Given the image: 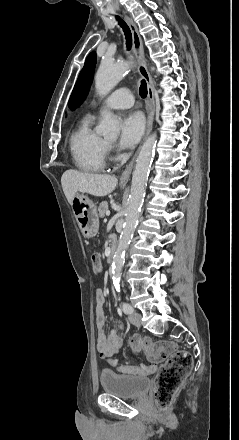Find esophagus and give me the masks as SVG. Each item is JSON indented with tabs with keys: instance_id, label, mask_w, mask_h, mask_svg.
Instances as JSON below:
<instances>
[{
	"instance_id": "esophagus-1",
	"label": "esophagus",
	"mask_w": 239,
	"mask_h": 440,
	"mask_svg": "<svg viewBox=\"0 0 239 440\" xmlns=\"http://www.w3.org/2000/svg\"><path fill=\"white\" fill-rule=\"evenodd\" d=\"M126 22L128 26L130 27L131 33H132V39H133V48L135 56L138 60V71L142 78L147 82L148 86V98L150 102V110L148 112L147 117V129H146V135L145 138L150 134L152 130L153 120H154V114H155V99H154V88L151 76L147 70L145 57H144V50H143V43L141 40V37L138 32V28L136 24L133 22V20L127 16H125ZM137 153L134 155L133 159L130 161V163L125 168L124 172L122 173L120 177V183H127L131 172L133 168V164L135 161Z\"/></svg>"
}]
</instances>
